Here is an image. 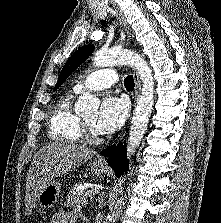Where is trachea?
I'll use <instances>...</instances> for the list:
<instances>
[{
  "instance_id": "3493384b",
  "label": "trachea",
  "mask_w": 221,
  "mask_h": 223,
  "mask_svg": "<svg viewBox=\"0 0 221 223\" xmlns=\"http://www.w3.org/2000/svg\"><path fill=\"white\" fill-rule=\"evenodd\" d=\"M124 85L127 90H132L134 88L135 83L132 75H129L124 79Z\"/></svg>"
}]
</instances>
